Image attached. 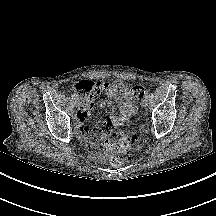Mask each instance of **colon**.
<instances>
[{"instance_id":"5ec220e1","label":"colon","mask_w":216,"mask_h":216,"mask_svg":"<svg viewBox=\"0 0 216 216\" xmlns=\"http://www.w3.org/2000/svg\"><path fill=\"white\" fill-rule=\"evenodd\" d=\"M74 91L83 100H94L101 92V87L93 81L83 80L76 83L73 87ZM131 96L136 100H141L146 93L142 86H133L130 88ZM99 132V131H98ZM108 136L103 142L102 148L110 156V163L114 166H120L129 161L134 151L139 147L137 137L126 133L122 130H113L110 122H105L99 134Z\"/></svg>"}]
</instances>
